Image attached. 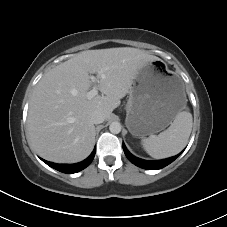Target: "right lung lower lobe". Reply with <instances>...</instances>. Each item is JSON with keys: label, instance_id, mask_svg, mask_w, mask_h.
<instances>
[{"label": "right lung lower lobe", "instance_id": "obj_1", "mask_svg": "<svg viewBox=\"0 0 227 227\" xmlns=\"http://www.w3.org/2000/svg\"><path fill=\"white\" fill-rule=\"evenodd\" d=\"M95 153H96V148H94L93 152L90 154V156L87 159H85L82 162L75 163V164H56V163L48 162L43 159H41V160L44 161L50 167H52L60 172L71 174V173L79 172V171L83 170L84 168H86L88 165H90V163L94 159Z\"/></svg>", "mask_w": 227, "mask_h": 227}]
</instances>
